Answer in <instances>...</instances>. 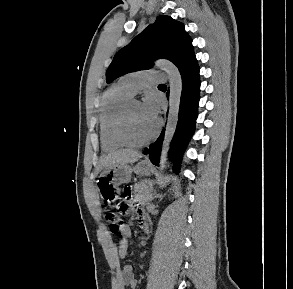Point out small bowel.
I'll list each match as a JSON object with an SVG mask.
<instances>
[{"mask_svg":"<svg viewBox=\"0 0 293 289\" xmlns=\"http://www.w3.org/2000/svg\"><path fill=\"white\" fill-rule=\"evenodd\" d=\"M141 224L146 222V217L143 211H140L138 214ZM147 223V222H146ZM148 226V223H147ZM149 232V226L146 230ZM132 231L128 224H125L122 229L121 237L118 243V254L120 258H126L128 254V239L131 237ZM137 286V279L135 278L133 267L129 264L123 266L121 273L119 275V288L125 289H135Z\"/></svg>","mask_w":293,"mask_h":289,"instance_id":"obj_1","label":"small bowel"}]
</instances>
